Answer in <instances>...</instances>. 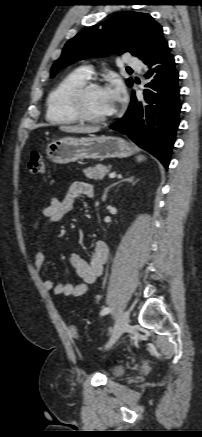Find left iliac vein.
I'll use <instances>...</instances> for the list:
<instances>
[{
  "label": "left iliac vein",
  "instance_id": "obj_1",
  "mask_svg": "<svg viewBox=\"0 0 202 437\" xmlns=\"http://www.w3.org/2000/svg\"><path fill=\"white\" fill-rule=\"evenodd\" d=\"M128 323H129V312L124 311L123 313H121V315L118 317L116 321V324L111 333V337L108 344L106 345V348L111 347L120 338V336L127 330Z\"/></svg>",
  "mask_w": 202,
  "mask_h": 437
}]
</instances>
